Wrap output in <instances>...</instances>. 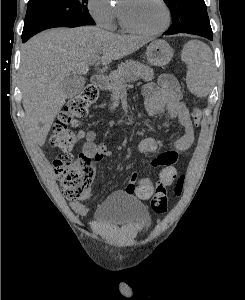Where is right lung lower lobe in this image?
I'll return each instance as SVG.
<instances>
[{"instance_id":"right-lung-lower-lobe-1","label":"right lung lower lobe","mask_w":245,"mask_h":300,"mask_svg":"<svg viewBox=\"0 0 245 300\" xmlns=\"http://www.w3.org/2000/svg\"><path fill=\"white\" fill-rule=\"evenodd\" d=\"M30 37H22V41L26 42Z\"/></svg>"}]
</instances>
